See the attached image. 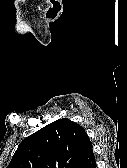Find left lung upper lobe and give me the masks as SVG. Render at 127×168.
Segmentation results:
<instances>
[{
	"instance_id": "1",
	"label": "left lung upper lobe",
	"mask_w": 127,
	"mask_h": 168,
	"mask_svg": "<svg viewBox=\"0 0 127 168\" xmlns=\"http://www.w3.org/2000/svg\"><path fill=\"white\" fill-rule=\"evenodd\" d=\"M88 140L82 126L58 119L25 138L7 168H76Z\"/></svg>"
}]
</instances>
